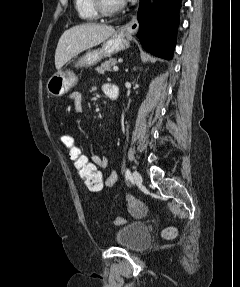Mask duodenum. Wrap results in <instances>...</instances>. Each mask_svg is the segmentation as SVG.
I'll return each mask as SVG.
<instances>
[{
  "label": "duodenum",
  "mask_w": 240,
  "mask_h": 287,
  "mask_svg": "<svg viewBox=\"0 0 240 287\" xmlns=\"http://www.w3.org/2000/svg\"><path fill=\"white\" fill-rule=\"evenodd\" d=\"M119 96V87L116 84H111L107 92V97L111 100H117Z\"/></svg>",
  "instance_id": "1"
}]
</instances>
